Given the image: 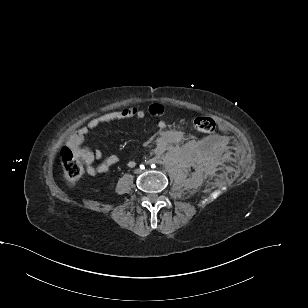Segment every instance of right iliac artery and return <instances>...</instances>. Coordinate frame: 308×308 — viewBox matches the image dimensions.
Returning <instances> with one entry per match:
<instances>
[{
    "mask_svg": "<svg viewBox=\"0 0 308 308\" xmlns=\"http://www.w3.org/2000/svg\"><path fill=\"white\" fill-rule=\"evenodd\" d=\"M140 168H141V169H144L145 167H144V165H140Z\"/></svg>",
    "mask_w": 308,
    "mask_h": 308,
    "instance_id": "82829eb1",
    "label": "right iliac artery"
}]
</instances>
